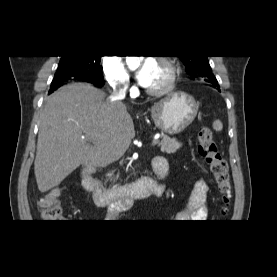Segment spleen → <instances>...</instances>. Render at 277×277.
I'll return each mask as SVG.
<instances>
[{
	"label": "spleen",
	"mask_w": 277,
	"mask_h": 277,
	"mask_svg": "<svg viewBox=\"0 0 277 277\" xmlns=\"http://www.w3.org/2000/svg\"><path fill=\"white\" fill-rule=\"evenodd\" d=\"M223 128V124L220 120H216L213 122V129L216 131H221Z\"/></svg>",
	"instance_id": "3e777b00"
}]
</instances>
